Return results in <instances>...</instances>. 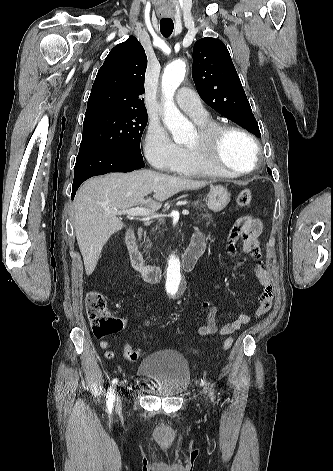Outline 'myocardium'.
Returning <instances> with one entry per match:
<instances>
[{
  "mask_svg": "<svg viewBox=\"0 0 333 471\" xmlns=\"http://www.w3.org/2000/svg\"><path fill=\"white\" fill-rule=\"evenodd\" d=\"M234 132L245 137L253 148V162L246 169H233L223 165L218 158L222 137ZM189 150L203 163L221 175L240 176L252 172L260 162V147L255 137L243 127L227 123H211L199 128L197 141L188 146Z\"/></svg>",
  "mask_w": 333,
  "mask_h": 471,
  "instance_id": "1",
  "label": "myocardium"
}]
</instances>
